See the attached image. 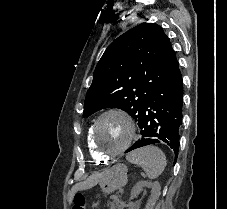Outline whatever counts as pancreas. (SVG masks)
<instances>
[{
	"label": "pancreas",
	"instance_id": "obj_1",
	"mask_svg": "<svg viewBox=\"0 0 227 209\" xmlns=\"http://www.w3.org/2000/svg\"><path fill=\"white\" fill-rule=\"evenodd\" d=\"M114 203H110L108 206V209H117V207L119 206L118 204H117V200L115 199L114 201H113Z\"/></svg>",
	"mask_w": 227,
	"mask_h": 209
}]
</instances>
